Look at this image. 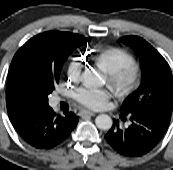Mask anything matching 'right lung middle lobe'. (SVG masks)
<instances>
[{"label":"right lung middle lobe","mask_w":173,"mask_h":170,"mask_svg":"<svg viewBox=\"0 0 173 170\" xmlns=\"http://www.w3.org/2000/svg\"><path fill=\"white\" fill-rule=\"evenodd\" d=\"M23 72L28 75L26 69H23ZM56 83H58V79L50 75L41 82L36 93L37 104L48 106V95L52 93Z\"/></svg>","instance_id":"1"}]
</instances>
